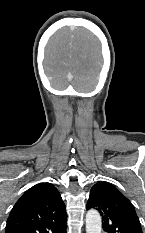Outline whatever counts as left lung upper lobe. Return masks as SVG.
I'll list each match as a JSON object with an SVG mask.
<instances>
[{
	"instance_id": "obj_1",
	"label": "left lung upper lobe",
	"mask_w": 145,
	"mask_h": 233,
	"mask_svg": "<svg viewBox=\"0 0 145 233\" xmlns=\"http://www.w3.org/2000/svg\"><path fill=\"white\" fill-rule=\"evenodd\" d=\"M102 216L103 229L108 233H142L139 218L132 203L113 185L96 183L87 202Z\"/></svg>"
}]
</instances>
